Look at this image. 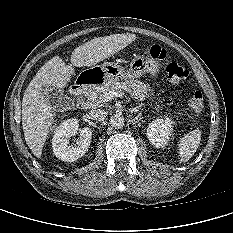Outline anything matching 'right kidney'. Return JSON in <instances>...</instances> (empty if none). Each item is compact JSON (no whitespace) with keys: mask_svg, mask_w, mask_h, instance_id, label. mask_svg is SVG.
I'll use <instances>...</instances> for the list:
<instances>
[{"mask_svg":"<svg viewBox=\"0 0 233 233\" xmlns=\"http://www.w3.org/2000/svg\"><path fill=\"white\" fill-rule=\"evenodd\" d=\"M78 134L76 144H69L72 136ZM92 139L89 128H79L77 119L71 118L62 122L55 130L52 147L55 156L63 161L74 162L85 155Z\"/></svg>","mask_w":233,"mask_h":233,"instance_id":"1","label":"right kidney"}]
</instances>
